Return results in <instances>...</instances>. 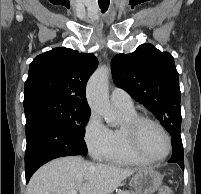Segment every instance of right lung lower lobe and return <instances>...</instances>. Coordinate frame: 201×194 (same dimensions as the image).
Listing matches in <instances>:
<instances>
[{"label": "right lung lower lobe", "instance_id": "1", "mask_svg": "<svg viewBox=\"0 0 201 194\" xmlns=\"http://www.w3.org/2000/svg\"><path fill=\"white\" fill-rule=\"evenodd\" d=\"M25 132L27 139L26 183L40 166L52 159L87 154L83 138L79 137L72 129L47 116L33 114L27 117Z\"/></svg>", "mask_w": 201, "mask_h": 194}]
</instances>
